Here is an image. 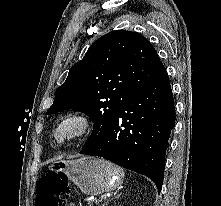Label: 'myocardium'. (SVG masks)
Instances as JSON below:
<instances>
[{"mask_svg":"<svg viewBox=\"0 0 221 206\" xmlns=\"http://www.w3.org/2000/svg\"><path fill=\"white\" fill-rule=\"evenodd\" d=\"M89 119L79 111H72L60 116L51 129L55 144L63 146L83 139L89 132Z\"/></svg>","mask_w":221,"mask_h":206,"instance_id":"obj_1","label":"myocardium"}]
</instances>
